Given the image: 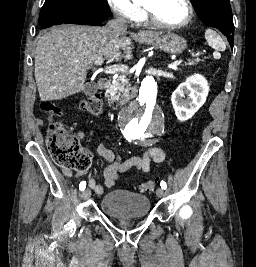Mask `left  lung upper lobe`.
<instances>
[{"label":"left lung upper lobe","mask_w":256,"mask_h":267,"mask_svg":"<svg viewBox=\"0 0 256 267\" xmlns=\"http://www.w3.org/2000/svg\"><path fill=\"white\" fill-rule=\"evenodd\" d=\"M203 23L219 29L233 48L234 25L229 0H191Z\"/></svg>","instance_id":"left-lung-upper-lobe-1"}]
</instances>
